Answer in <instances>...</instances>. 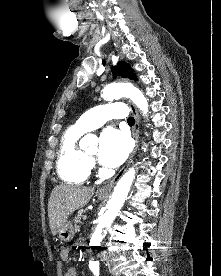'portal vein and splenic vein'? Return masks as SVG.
I'll return each mask as SVG.
<instances>
[{
	"label": "portal vein and splenic vein",
	"instance_id": "1",
	"mask_svg": "<svg viewBox=\"0 0 221 276\" xmlns=\"http://www.w3.org/2000/svg\"><path fill=\"white\" fill-rule=\"evenodd\" d=\"M86 219H87V215H84V216H83V220H86Z\"/></svg>",
	"mask_w": 221,
	"mask_h": 276
}]
</instances>
